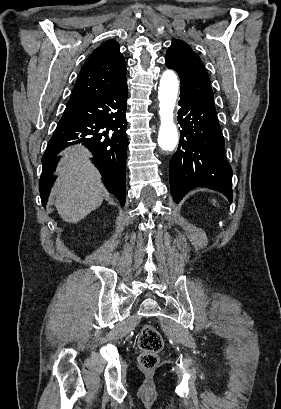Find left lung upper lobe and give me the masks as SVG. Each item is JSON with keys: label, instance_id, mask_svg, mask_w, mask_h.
I'll use <instances>...</instances> for the list:
<instances>
[{"label": "left lung upper lobe", "instance_id": "5c2ea615", "mask_svg": "<svg viewBox=\"0 0 281 409\" xmlns=\"http://www.w3.org/2000/svg\"><path fill=\"white\" fill-rule=\"evenodd\" d=\"M165 63L179 74L182 91L189 92L198 100L215 107L204 64L187 43L174 40L166 53Z\"/></svg>", "mask_w": 281, "mask_h": 409}]
</instances>
